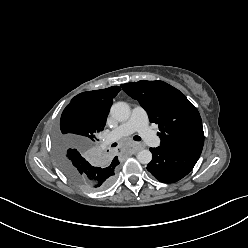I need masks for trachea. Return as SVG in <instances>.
Wrapping results in <instances>:
<instances>
[{
  "instance_id": "trachea-1",
  "label": "trachea",
  "mask_w": 248,
  "mask_h": 248,
  "mask_svg": "<svg viewBox=\"0 0 248 248\" xmlns=\"http://www.w3.org/2000/svg\"><path fill=\"white\" fill-rule=\"evenodd\" d=\"M133 139H134L135 141H141V137H140V136H134Z\"/></svg>"
}]
</instances>
